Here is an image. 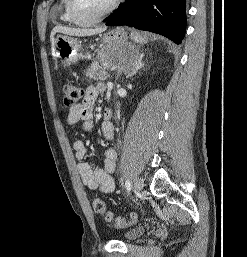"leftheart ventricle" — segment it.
Listing matches in <instances>:
<instances>
[{
  "label": "left heart ventricle",
  "mask_w": 247,
  "mask_h": 257,
  "mask_svg": "<svg viewBox=\"0 0 247 257\" xmlns=\"http://www.w3.org/2000/svg\"><path fill=\"white\" fill-rule=\"evenodd\" d=\"M113 0H76V8L80 16L92 18L103 12Z\"/></svg>",
  "instance_id": "1"
}]
</instances>
